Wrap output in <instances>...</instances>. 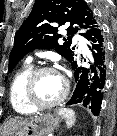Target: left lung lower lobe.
Masks as SVG:
<instances>
[{
  "instance_id": "left-lung-lower-lobe-1",
  "label": "left lung lower lobe",
  "mask_w": 117,
  "mask_h": 136,
  "mask_svg": "<svg viewBox=\"0 0 117 136\" xmlns=\"http://www.w3.org/2000/svg\"><path fill=\"white\" fill-rule=\"evenodd\" d=\"M85 38L89 41L92 62H89L90 68L81 67L76 58L71 63L77 86L66 105L80 104L98 116L108 67L107 43L101 27L89 32Z\"/></svg>"
}]
</instances>
